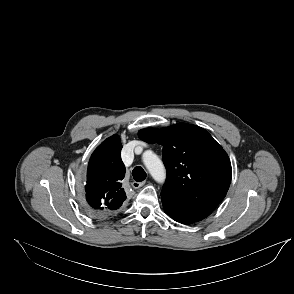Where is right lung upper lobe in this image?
<instances>
[{
	"instance_id": "1",
	"label": "right lung upper lobe",
	"mask_w": 294,
	"mask_h": 294,
	"mask_svg": "<svg viewBox=\"0 0 294 294\" xmlns=\"http://www.w3.org/2000/svg\"><path fill=\"white\" fill-rule=\"evenodd\" d=\"M121 149L120 138L115 134L102 142L89 160L86 200L97 216L113 214L126 199L121 183L126 170Z\"/></svg>"
}]
</instances>
